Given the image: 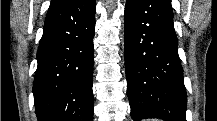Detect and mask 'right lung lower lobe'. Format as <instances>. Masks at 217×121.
Masks as SVG:
<instances>
[{
    "label": "right lung lower lobe",
    "instance_id": "right-lung-lower-lobe-1",
    "mask_svg": "<svg viewBox=\"0 0 217 121\" xmlns=\"http://www.w3.org/2000/svg\"><path fill=\"white\" fill-rule=\"evenodd\" d=\"M95 0H54L37 51L38 121H92Z\"/></svg>",
    "mask_w": 217,
    "mask_h": 121
}]
</instances>
